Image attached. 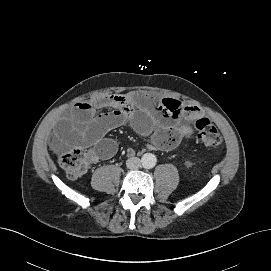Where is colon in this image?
Instances as JSON below:
<instances>
[{
    "label": "colon",
    "mask_w": 271,
    "mask_h": 271,
    "mask_svg": "<svg viewBox=\"0 0 271 271\" xmlns=\"http://www.w3.org/2000/svg\"><path fill=\"white\" fill-rule=\"evenodd\" d=\"M194 127L198 137L208 147H218L222 144V137L218 129L204 117L195 119ZM92 162V155L83 149H73L60 158V165L71 179L83 176Z\"/></svg>",
    "instance_id": "obj_1"
}]
</instances>
